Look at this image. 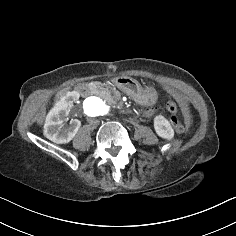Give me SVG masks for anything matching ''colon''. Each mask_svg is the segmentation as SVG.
Instances as JSON below:
<instances>
[{
    "label": "colon",
    "mask_w": 236,
    "mask_h": 236,
    "mask_svg": "<svg viewBox=\"0 0 236 236\" xmlns=\"http://www.w3.org/2000/svg\"><path fill=\"white\" fill-rule=\"evenodd\" d=\"M167 110L171 114V122H172V125H173L175 131L182 132L184 130V126L181 124V122L178 119V116H177V111H178L177 105L173 101H169L167 103Z\"/></svg>",
    "instance_id": "1"
}]
</instances>
